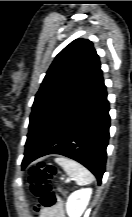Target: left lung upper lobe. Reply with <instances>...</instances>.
Returning <instances> with one entry per match:
<instances>
[{
	"mask_svg": "<svg viewBox=\"0 0 132 217\" xmlns=\"http://www.w3.org/2000/svg\"><path fill=\"white\" fill-rule=\"evenodd\" d=\"M100 67L99 56L89 40L76 39L56 56L35 96L25 154L93 81Z\"/></svg>",
	"mask_w": 132,
	"mask_h": 217,
	"instance_id": "left-lung-upper-lobe-1",
	"label": "left lung upper lobe"
}]
</instances>
